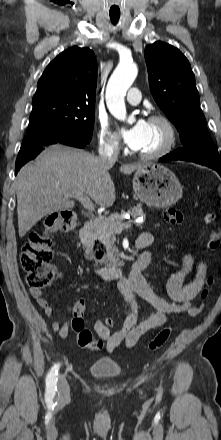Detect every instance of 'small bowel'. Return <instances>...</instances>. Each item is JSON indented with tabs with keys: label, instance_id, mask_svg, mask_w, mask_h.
<instances>
[{
	"label": "small bowel",
	"instance_id": "small-bowel-1",
	"mask_svg": "<svg viewBox=\"0 0 221 440\" xmlns=\"http://www.w3.org/2000/svg\"><path fill=\"white\" fill-rule=\"evenodd\" d=\"M153 242L149 233H142L137 241L140 248H148ZM143 258L151 260V252L145 250L134 262L127 276L119 278L116 288L122 296L127 307V315L121 329L112 331L106 329L102 320H97L94 330L100 339L105 341L108 352H114L121 346L127 348L134 346L148 331L166 324L167 317L186 311L190 316H196L201 311V306H193L192 300L201 290L206 277V265L203 261H196L191 255H184L180 268L169 278L166 289L170 300L163 299L153 289L145 277L138 272L135 264ZM196 270L195 277L190 282H185L187 275ZM29 293L37 306L43 309L45 316L51 317L54 309L52 304L42 296L39 289H29ZM137 297L150 304L154 311L144 319H139V303ZM74 306H68V312L73 314ZM70 322L60 323L53 321L52 329L60 338H66L69 333Z\"/></svg>",
	"mask_w": 221,
	"mask_h": 440
}]
</instances>
